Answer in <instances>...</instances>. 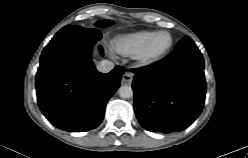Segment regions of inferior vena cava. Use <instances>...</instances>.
<instances>
[{
    "instance_id": "obj_1",
    "label": "inferior vena cava",
    "mask_w": 248,
    "mask_h": 158,
    "mask_svg": "<svg viewBox=\"0 0 248 158\" xmlns=\"http://www.w3.org/2000/svg\"><path fill=\"white\" fill-rule=\"evenodd\" d=\"M114 68V63L109 60H102L97 64V70L102 73H108Z\"/></svg>"
}]
</instances>
